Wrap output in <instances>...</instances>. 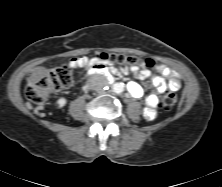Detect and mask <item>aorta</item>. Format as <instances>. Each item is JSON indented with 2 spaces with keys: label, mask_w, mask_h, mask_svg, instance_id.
I'll return each instance as SVG.
<instances>
[{
  "label": "aorta",
  "mask_w": 222,
  "mask_h": 187,
  "mask_svg": "<svg viewBox=\"0 0 222 187\" xmlns=\"http://www.w3.org/2000/svg\"><path fill=\"white\" fill-rule=\"evenodd\" d=\"M113 91L116 93H121L124 91V84L123 83H115L113 85Z\"/></svg>",
  "instance_id": "1"
}]
</instances>
